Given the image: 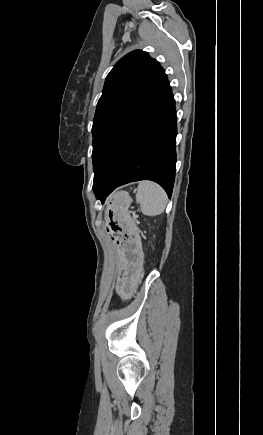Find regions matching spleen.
Listing matches in <instances>:
<instances>
[{"instance_id":"1","label":"spleen","mask_w":263,"mask_h":435,"mask_svg":"<svg viewBox=\"0 0 263 435\" xmlns=\"http://www.w3.org/2000/svg\"><path fill=\"white\" fill-rule=\"evenodd\" d=\"M136 201L140 204L144 215L155 216L164 212L167 195L158 184L151 181H142L138 184Z\"/></svg>"}]
</instances>
